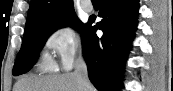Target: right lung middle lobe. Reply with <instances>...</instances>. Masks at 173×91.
<instances>
[{
  "mask_svg": "<svg viewBox=\"0 0 173 91\" xmlns=\"http://www.w3.org/2000/svg\"><path fill=\"white\" fill-rule=\"evenodd\" d=\"M66 26L77 28L82 34L86 24L82 23L74 14L56 23L37 26L33 29L25 31L22 47L13 67V75L17 76L29 71L37 60L39 52L45 44L47 38L57 29Z\"/></svg>",
  "mask_w": 173,
  "mask_h": 91,
  "instance_id": "right-lung-middle-lobe-1",
  "label": "right lung middle lobe"
}]
</instances>
